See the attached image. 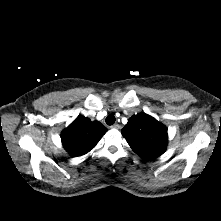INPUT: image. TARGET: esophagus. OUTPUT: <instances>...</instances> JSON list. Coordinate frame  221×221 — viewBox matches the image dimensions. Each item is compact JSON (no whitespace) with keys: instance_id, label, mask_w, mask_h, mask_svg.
<instances>
[{"instance_id":"34e87169","label":"esophagus","mask_w":221,"mask_h":221,"mask_svg":"<svg viewBox=\"0 0 221 221\" xmlns=\"http://www.w3.org/2000/svg\"><path fill=\"white\" fill-rule=\"evenodd\" d=\"M120 125L119 124H114L111 126L112 129H120Z\"/></svg>"}]
</instances>
